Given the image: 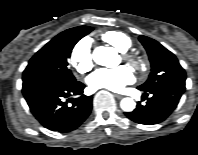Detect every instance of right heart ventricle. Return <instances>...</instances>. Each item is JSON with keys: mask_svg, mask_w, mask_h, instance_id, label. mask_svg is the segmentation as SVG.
<instances>
[{"mask_svg": "<svg viewBox=\"0 0 198 155\" xmlns=\"http://www.w3.org/2000/svg\"><path fill=\"white\" fill-rule=\"evenodd\" d=\"M101 37L105 42L121 52L127 51L132 45L130 38L120 31H108L102 34Z\"/></svg>", "mask_w": 198, "mask_h": 155, "instance_id": "obj_1", "label": "right heart ventricle"}]
</instances>
